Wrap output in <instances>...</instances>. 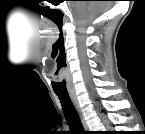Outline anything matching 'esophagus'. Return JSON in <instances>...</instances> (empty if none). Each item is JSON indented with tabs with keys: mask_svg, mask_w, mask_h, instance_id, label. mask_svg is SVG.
Returning <instances> with one entry per match:
<instances>
[{
	"mask_svg": "<svg viewBox=\"0 0 145 134\" xmlns=\"http://www.w3.org/2000/svg\"><path fill=\"white\" fill-rule=\"evenodd\" d=\"M71 100H72V102H73V104L75 106V109H76V111H77V113L79 115L80 121H81L84 129L87 130L88 129V126H87L86 120L84 118V115L82 113V110L80 108V105H79V102H78L77 97L76 96H71Z\"/></svg>",
	"mask_w": 145,
	"mask_h": 134,
	"instance_id": "obj_1",
	"label": "esophagus"
}]
</instances>
